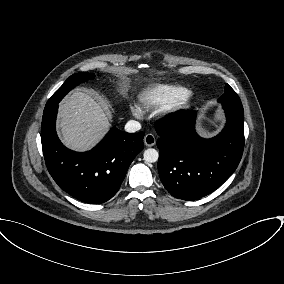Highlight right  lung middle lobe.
<instances>
[{
  "label": "right lung middle lobe",
  "instance_id": "obj_1",
  "mask_svg": "<svg viewBox=\"0 0 284 284\" xmlns=\"http://www.w3.org/2000/svg\"><path fill=\"white\" fill-rule=\"evenodd\" d=\"M93 74L87 73H77L70 76L64 84L50 97L48 100L45 109L47 110L50 107H53L55 104L59 103L63 96H65L71 89H73L78 84L85 82L88 79H93Z\"/></svg>",
  "mask_w": 284,
  "mask_h": 284
}]
</instances>
